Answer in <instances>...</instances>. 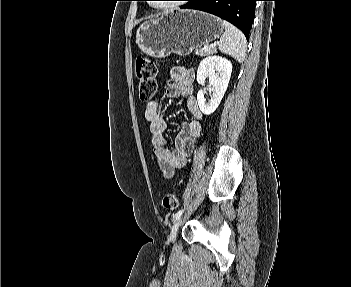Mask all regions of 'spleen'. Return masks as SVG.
Returning <instances> with one entry per match:
<instances>
[{
  "mask_svg": "<svg viewBox=\"0 0 351 287\" xmlns=\"http://www.w3.org/2000/svg\"><path fill=\"white\" fill-rule=\"evenodd\" d=\"M222 24L225 27V32L218 44L220 52L233 57L238 62L244 61L247 49L244 34L227 21H222Z\"/></svg>",
  "mask_w": 351,
  "mask_h": 287,
  "instance_id": "3e777b00",
  "label": "spleen"
}]
</instances>
